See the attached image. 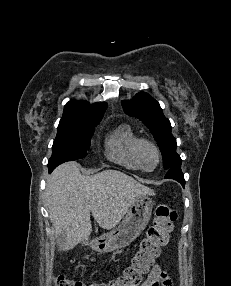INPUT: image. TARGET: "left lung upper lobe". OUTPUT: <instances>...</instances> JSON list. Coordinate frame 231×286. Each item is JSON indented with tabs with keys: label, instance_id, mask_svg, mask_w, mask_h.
<instances>
[{
	"label": "left lung upper lobe",
	"instance_id": "left-lung-upper-lobe-1",
	"mask_svg": "<svg viewBox=\"0 0 231 286\" xmlns=\"http://www.w3.org/2000/svg\"><path fill=\"white\" fill-rule=\"evenodd\" d=\"M124 111L139 118L151 131L161 150L163 166L169 170L181 164L176 153V139L171 134V124L163 115L159 103L146 93L137 94L131 101L122 102Z\"/></svg>",
	"mask_w": 231,
	"mask_h": 286
}]
</instances>
